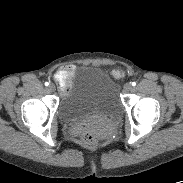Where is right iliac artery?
<instances>
[{"label":"right iliac artery","mask_w":183,"mask_h":183,"mask_svg":"<svg viewBox=\"0 0 183 183\" xmlns=\"http://www.w3.org/2000/svg\"><path fill=\"white\" fill-rule=\"evenodd\" d=\"M49 85V82H45V86H48Z\"/></svg>","instance_id":"obj_1"}]
</instances>
